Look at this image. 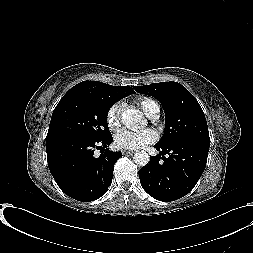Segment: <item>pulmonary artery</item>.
<instances>
[{
	"mask_svg": "<svg viewBox=\"0 0 253 253\" xmlns=\"http://www.w3.org/2000/svg\"><path fill=\"white\" fill-rule=\"evenodd\" d=\"M158 113H159V107H157L155 110H154V112L151 114V118H157V116H158Z\"/></svg>",
	"mask_w": 253,
	"mask_h": 253,
	"instance_id": "e3ab8cb5",
	"label": "pulmonary artery"
}]
</instances>
